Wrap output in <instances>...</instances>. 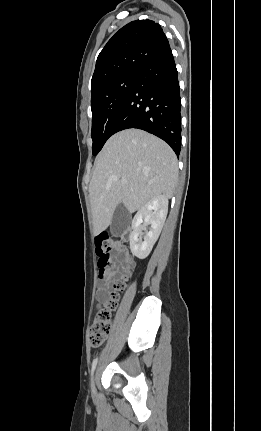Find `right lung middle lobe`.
<instances>
[{"label":"right lung middle lobe","mask_w":261,"mask_h":431,"mask_svg":"<svg viewBox=\"0 0 261 431\" xmlns=\"http://www.w3.org/2000/svg\"><path fill=\"white\" fill-rule=\"evenodd\" d=\"M138 73L121 75L91 91L92 153L97 155L107 139L133 87Z\"/></svg>","instance_id":"obj_1"}]
</instances>
